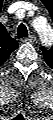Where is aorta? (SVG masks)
<instances>
[{
    "label": "aorta",
    "mask_w": 53,
    "mask_h": 120,
    "mask_svg": "<svg viewBox=\"0 0 53 120\" xmlns=\"http://www.w3.org/2000/svg\"><path fill=\"white\" fill-rule=\"evenodd\" d=\"M37 28H38L37 30H38V34H39L41 42L44 45L50 44L52 41V31H51L50 26L39 22L37 23Z\"/></svg>",
    "instance_id": "aorta-1"
}]
</instances>
